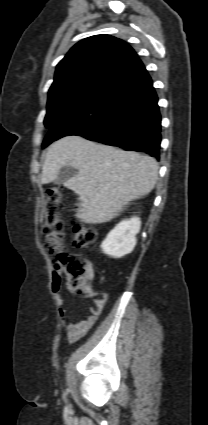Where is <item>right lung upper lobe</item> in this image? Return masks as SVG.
<instances>
[{"instance_id": "right-lung-upper-lobe-1", "label": "right lung upper lobe", "mask_w": 208, "mask_h": 425, "mask_svg": "<svg viewBox=\"0 0 208 425\" xmlns=\"http://www.w3.org/2000/svg\"><path fill=\"white\" fill-rule=\"evenodd\" d=\"M138 61L135 51L121 39L110 35L85 38L58 63L48 102L80 90H104Z\"/></svg>"}]
</instances>
